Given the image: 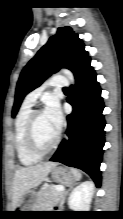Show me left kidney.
Listing matches in <instances>:
<instances>
[{
	"label": "left kidney",
	"mask_w": 123,
	"mask_h": 219,
	"mask_svg": "<svg viewBox=\"0 0 123 219\" xmlns=\"http://www.w3.org/2000/svg\"><path fill=\"white\" fill-rule=\"evenodd\" d=\"M94 183L85 181L71 192L68 205L73 211H88L93 197Z\"/></svg>",
	"instance_id": "left-kidney-1"
}]
</instances>
